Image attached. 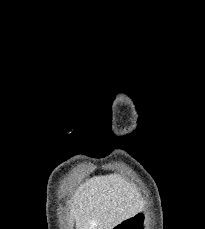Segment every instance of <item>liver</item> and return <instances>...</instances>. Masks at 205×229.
Returning <instances> with one entry per match:
<instances>
[{
  "label": "liver",
  "instance_id": "obj_1",
  "mask_svg": "<svg viewBox=\"0 0 205 229\" xmlns=\"http://www.w3.org/2000/svg\"><path fill=\"white\" fill-rule=\"evenodd\" d=\"M68 204L70 222L75 220L77 229H112L140 207L129 184L117 175L87 180Z\"/></svg>",
  "mask_w": 205,
  "mask_h": 229
}]
</instances>
